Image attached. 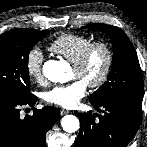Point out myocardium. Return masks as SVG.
<instances>
[{"label": "myocardium", "instance_id": "f54148a6", "mask_svg": "<svg viewBox=\"0 0 147 147\" xmlns=\"http://www.w3.org/2000/svg\"><path fill=\"white\" fill-rule=\"evenodd\" d=\"M98 49L103 50L105 53V65L99 77L87 83L91 88H99L104 85L111 74L114 62V53L111 45L106 41H94L83 51L79 59L73 63V68L76 71H83L88 65L94 52Z\"/></svg>", "mask_w": 147, "mask_h": 147}]
</instances>
